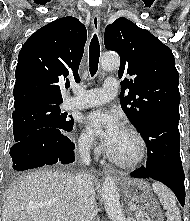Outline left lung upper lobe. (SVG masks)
Here are the masks:
<instances>
[{"instance_id": "obj_1", "label": "left lung upper lobe", "mask_w": 190, "mask_h": 221, "mask_svg": "<svg viewBox=\"0 0 190 221\" xmlns=\"http://www.w3.org/2000/svg\"><path fill=\"white\" fill-rule=\"evenodd\" d=\"M104 44L120 55L119 78L130 76L121 82L120 102L137 130L157 117L179 120V74L170 48L126 18L106 27Z\"/></svg>"}]
</instances>
